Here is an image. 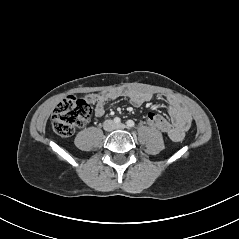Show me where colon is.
<instances>
[{
  "instance_id": "colon-1",
  "label": "colon",
  "mask_w": 239,
  "mask_h": 239,
  "mask_svg": "<svg viewBox=\"0 0 239 239\" xmlns=\"http://www.w3.org/2000/svg\"><path fill=\"white\" fill-rule=\"evenodd\" d=\"M97 101V96L89 95L85 98L74 96L63 99L54 109L52 114V128L60 136L68 137L76 128L84 125L89 119L92 104ZM145 121L157 132L163 133L169 129V120L164 114L156 110H149L145 114Z\"/></svg>"
}]
</instances>
